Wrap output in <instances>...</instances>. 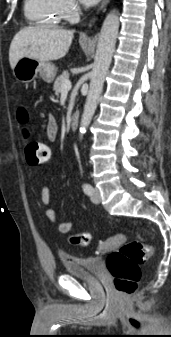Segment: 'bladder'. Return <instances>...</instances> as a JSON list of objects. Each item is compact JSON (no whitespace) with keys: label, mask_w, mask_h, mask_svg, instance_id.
Instances as JSON below:
<instances>
[{"label":"bladder","mask_w":171,"mask_h":337,"mask_svg":"<svg viewBox=\"0 0 171 337\" xmlns=\"http://www.w3.org/2000/svg\"><path fill=\"white\" fill-rule=\"evenodd\" d=\"M65 272L77 277L93 278L100 274L103 261L99 257L62 256Z\"/></svg>","instance_id":"obj_1"}]
</instances>
